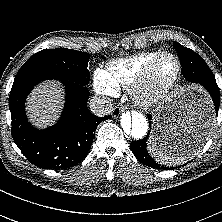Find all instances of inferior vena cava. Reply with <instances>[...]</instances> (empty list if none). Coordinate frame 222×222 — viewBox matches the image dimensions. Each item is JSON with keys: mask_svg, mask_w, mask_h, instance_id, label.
Masks as SVG:
<instances>
[{"mask_svg": "<svg viewBox=\"0 0 222 222\" xmlns=\"http://www.w3.org/2000/svg\"><path fill=\"white\" fill-rule=\"evenodd\" d=\"M90 110L97 116H105L113 111L112 100L107 97H93L89 103Z\"/></svg>", "mask_w": 222, "mask_h": 222, "instance_id": "602c4592", "label": "inferior vena cava"}]
</instances>
